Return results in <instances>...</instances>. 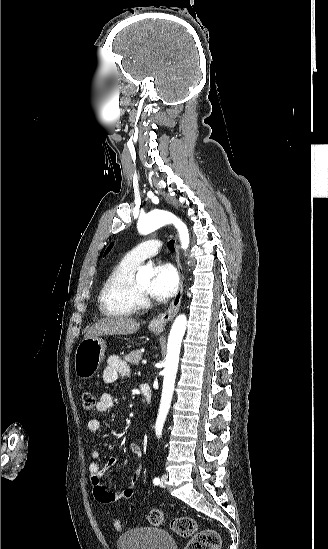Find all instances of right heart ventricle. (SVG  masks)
I'll use <instances>...</instances> for the list:
<instances>
[{"label": "right heart ventricle", "mask_w": 328, "mask_h": 549, "mask_svg": "<svg viewBox=\"0 0 328 549\" xmlns=\"http://www.w3.org/2000/svg\"><path fill=\"white\" fill-rule=\"evenodd\" d=\"M139 264L124 255L110 272L99 293L101 319H136L137 311L126 308L134 304L127 295V284Z\"/></svg>", "instance_id": "1"}]
</instances>
